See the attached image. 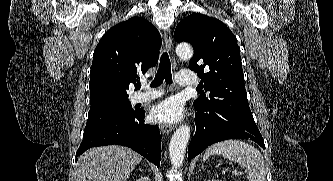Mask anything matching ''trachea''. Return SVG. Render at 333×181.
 I'll return each instance as SVG.
<instances>
[{
  "instance_id": "1",
  "label": "trachea",
  "mask_w": 333,
  "mask_h": 181,
  "mask_svg": "<svg viewBox=\"0 0 333 181\" xmlns=\"http://www.w3.org/2000/svg\"><path fill=\"white\" fill-rule=\"evenodd\" d=\"M163 80H165L167 84L172 83L171 63L169 60V56L166 52L161 55L159 69L154 80L151 83V87H157L161 85ZM136 87L139 89L140 85H137Z\"/></svg>"
}]
</instances>
